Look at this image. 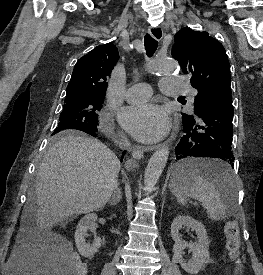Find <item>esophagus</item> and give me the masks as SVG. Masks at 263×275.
Here are the masks:
<instances>
[{"instance_id":"1","label":"esophagus","mask_w":263,"mask_h":275,"mask_svg":"<svg viewBox=\"0 0 263 275\" xmlns=\"http://www.w3.org/2000/svg\"><path fill=\"white\" fill-rule=\"evenodd\" d=\"M149 34L156 40L160 41L163 37V30L161 27H149L148 28ZM158 146H149V147H141V146H135L132 151V157L136 160H140L143 158L144 150H154Z\"/></svg>"}]
</instances>
